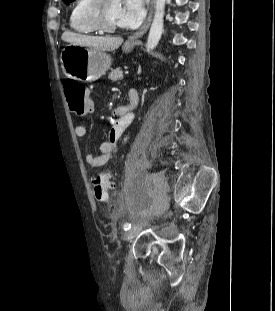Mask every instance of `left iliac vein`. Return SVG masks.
<instances>
[{
  "label": "left iliac vein",
  "instance_id": "4c4485c4",
  "mask_svg": "<svg viewBox=\"0 0 275 311\" xmlns=\"http://www.w3.org/2000/svg\"><path fill=\"white\" fill-rule=\"evenodd\" d=\"M142 224H138L134 227H132L131 229L127 230L124 234H123V239L125 241H130L131 239H133L136 235H138V233L142 230Z\"/></svg>",
  "mask_w": 275,
  "mask_h": 311
}]
</instances>
